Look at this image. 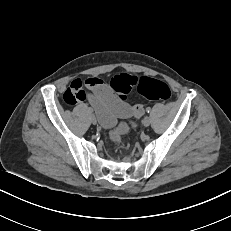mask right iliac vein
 <instances>
[{"mask_svg": "<svg viewBox=\"0 0 231 231\" xmlns=\"http://www.w3.org/2000/svg\"><path fill=\"white\" fill-rule=\"evenodd\" d=\"M90 120H91V123L93 125H95L97 123V119H96V117L94 115H91Z\"/></svg>", "mask_w": 231, "mask_h": 231, "instance_id": "obj_1", "label": "right iliac vein"}]
</instances>
